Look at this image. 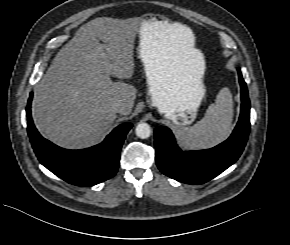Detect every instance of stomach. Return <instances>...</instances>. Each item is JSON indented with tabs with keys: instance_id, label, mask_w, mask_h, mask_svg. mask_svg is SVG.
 Here are the masks:
<instances>
[{
	"instance_id": "1",
	"label": "stomach",
	"mask_w": 290,
	"mask_h": 245,
	"mask_svg": "<svg viewBox=\"0 0 290 245\" xmlns=\"http://www.w3.org/2000/svg\"><path fill=\"white\" fill-rule=\"evenodd\" d=\"M166 22L144 20L140 30L139 57L146 75L148 104L182 128L193 123L205 95V61L195 53V68L185 70L171 47L160 38Z\"/></svg>"
}]
</instances>
